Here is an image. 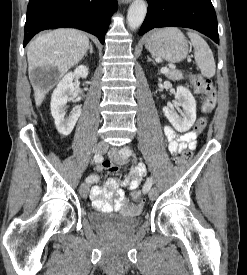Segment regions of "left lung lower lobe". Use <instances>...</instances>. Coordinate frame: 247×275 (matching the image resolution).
Listing matches in <instances>:
<instances>
[{
    "label": "left lung lower lobe",
    "instance_id": "obj_1",
    "mask_svg": "<svg viewBox=\"0 0 247 275\" xmlns=\"http://www.w3.org/2000/svg\"><path fill=\"white\" fill-rule=\"evenodd\" d=\"M148 12L140 28L143 35L166 26L197 30L219 43L217 18L211 0H147Z\"/></svg>",
    "mask_w": 247,
    "mask_h": 275
}]
</instances>
